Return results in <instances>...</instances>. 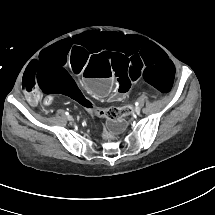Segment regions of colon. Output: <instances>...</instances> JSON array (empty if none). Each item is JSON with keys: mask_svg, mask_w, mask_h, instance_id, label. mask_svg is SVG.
<instances>
[{"mask_svg": "<svg viewBox=\"0 0 215 215\" xmlns=\"http://www.w3.org/2000/svg\"><path fill=\"white\" fill-rule=\"evenodd\" d=\"M51 99L49 97L45 98L43 103L45 105L50 104ZM89 111L92 116H106L109 119H118L119 117L129 113V108H118L110 107L108 109H101L96 105H91Z\"/></svg>", "mask_w": 215, "mask_h": 215, "instance_id": "5ec220e1", "label": "colon"}]
</instances>
